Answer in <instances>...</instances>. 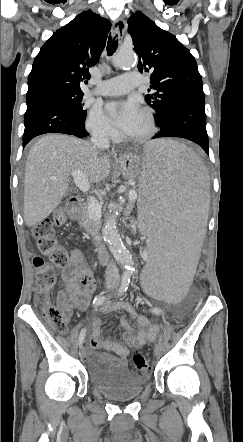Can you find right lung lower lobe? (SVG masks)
Returning a JSON list of instances; mask_svg holds the SVG:
<instances>
[{
  "mask_svg": "<svg viewBox=\"0 0 243 442\" xmlns=\"http://www.w3.org/2000/svg\"><path fill=\"white\" fill-rule=\"evenodd\" d=\"M27 110L24 115L25 130L23 148L34 137L56 132L86 137L89 134L72 107L53 94H34L26 97Z\"/></svg>",
  "mask_w": 243,
  "mask_h": 442,
  "instance_id": "obj_1",
  "label": "right lung lower lobe"
}]
</instances>
